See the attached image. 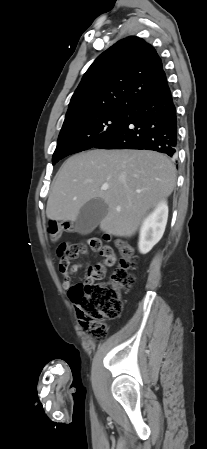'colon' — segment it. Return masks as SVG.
<instances>
[{"label":"colon","instance_id":"obj_1","mask_svg":"<svg viewBox=\"0 0 207 449\" xmlns=\"http://www.w3.org/2000/svg\"><path fill=\"white\" fill-rule=\"evenodd\" d=\"M74 227L69 221H52L47 232L52 241H58L63 233L73 232ZM120 254L119 265L113 271L108 281H101L107 266L115 263L114 251L104 245L99 237H92L84 242L61 244L58 249L60 266L67 267L71 260L87 253L89 249L99 252L103 262L95 266L94 279L77 283L70 287L68 296L76 305L81 322L88 332L102 338L107 333L103 319H117L122 311V293L132 287L134 276L132 270L136 267L131 245L125 240L116 242Z\"/></svg>","mask_w":207,"mask_h":449}]
</instances>
